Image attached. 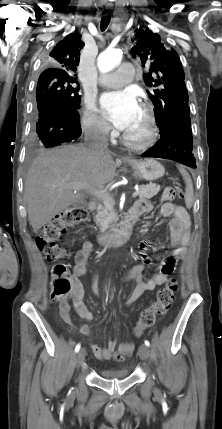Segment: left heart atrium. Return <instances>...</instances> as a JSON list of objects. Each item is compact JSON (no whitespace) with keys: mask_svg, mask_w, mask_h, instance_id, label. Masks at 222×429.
Wrapping results in <instances>:
<instances>
[{"mask_svg":"<svg viewBox=\"0 0 222 429\" xmlns=\"http://www.w3.org/2000/svg\"><path fill=\"white\" fill-rule=\"evenodd\" d=\"M100 105L104 116L121 131L132 125L140 108L135 94L130 90L105 93L100 98Z\"/></svg>","mask_w":222,"mask_h":429,"instance_id":"left-heart-atrium-1","label":"left heart atrium"}]
</instances>
